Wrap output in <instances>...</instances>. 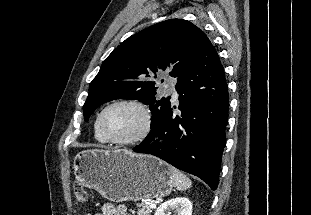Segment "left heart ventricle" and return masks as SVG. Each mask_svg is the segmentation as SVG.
I'll list each match as a JSON object with an SVG mask.
<instances>
[{
	"mask_svg": "<svg viewBox=\"0 0 311 215\" xmlns=\"http://www.w3.org/2000/svg\"><path fill=\"white\" fill-rule=\"evenodd\" d=\"M143 126L142 113L130 105L110 108L103 117V128L113 138L125 139L135 136Z\"/></svg>",
	"mask_w": 311,
	"mask_h": 215,
	"instance_id": "obj_1",
	"label": "left heart ventricle"
}]
</instances>
